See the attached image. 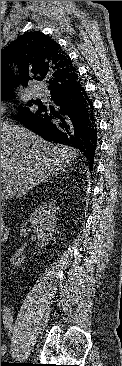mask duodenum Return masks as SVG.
Masks as SVG:
<instances>
[{"label": "duodenum", "mask_w": 122, "mask_h": 366, "mask_svg": "<svg viewBox=\"0 0 122 366\" xmlns=\"http://www.w3.org/2000/svg\"><path fill=\"white\" fill-rule=\"evenodd\" d=\"M3 238H4V231H3V229L1 228V240H3Z\"/></svg>", "instance_id": "obj_1"}]
</instances>
